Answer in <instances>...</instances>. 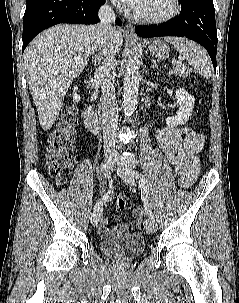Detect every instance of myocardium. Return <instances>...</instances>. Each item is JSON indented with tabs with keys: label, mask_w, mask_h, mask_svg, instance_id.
<instances>
[{
	"label": "myocardium",
	"mask_w": 239,
	"mask_h": 303,
	"mask_svg": "<svg viewBox=\"0 0 239 303\" xmlns=\"http://www.w3.org/2000/svg\"><path fill=\"white\" fill-rule=\"evenodd\" d=\"M170 2L172 6L167 13L160 15H146V14H141L139 12H135V17L142 22L151 23V24L168 22L176 18L181 13L182 10V4L180 0H170Z\"/></svg>",
	"instance_id": "obj_1"
}]
</instances>
